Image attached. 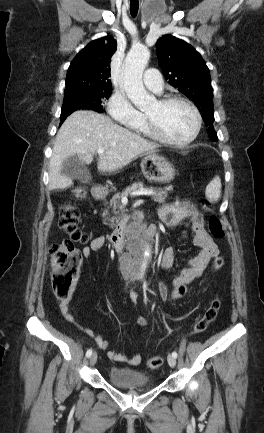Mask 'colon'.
Masks as SVG:
<instances>
[{"label":"colon","mask_w":264,"mask_h":433,"mask_svg":"<svg viewBox=\"0 0 264 433\" xmlns=\"http://www.w3.org/2000/svg\"><path fill=\"white\" fill-rule=\"evenodd\" d=\"M87 191L84 186L78 185L73 188V195L76 199L82 200L86 197ZM205 211L212 213L213 204L210 201L203 203ZM79 210L75 205L67 204L61 210L59 226L67 235L62 242L55 243L50 247V263L53 272L52 287L55 296L59 299L67 298L70 295V288L79 273L81 266V254L75 244H84L90 240V235L79 228ZM208 230L215 239L224 237V229L220 219L216 215H211L208 219ZM224 260L221 256L215 255L211 260V268L217 271L222 268ZM187 293L184 284L174 285L170 300L177 301ZM220 308V301L214 299L205 310L193 327L194 334L204 332L207 327L216 319ZM163 364L160 356H151L147 360V366L151 369H158Z\"/></svg>","instance_id":"colon-1"}]
</instances>
